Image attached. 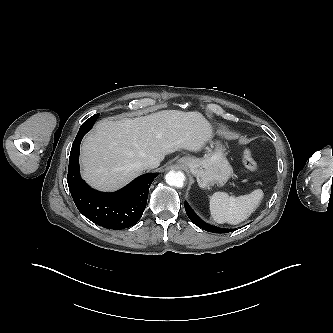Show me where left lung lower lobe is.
Masks as SVG:
<instances>
[{"mask_svg":"<svg viewBox=\"0 0 333 333\" xmlns=\"http://www.w3.org/2000/svg\"><path fill=\"white\" fill-rule=\"evenodd\" d=\"M185 206V211L187 213V216L189 217V219L198 227H201L202 229L208 231V232H214V233H228L233 231L234 229H228V228H219L213 225H210L208 223H205L204 221H202L201 219H199L189 208V206L187 205V203L184 204Z\"/></svg>","mask_w":333,"mask_h":333,"instance_id":"1","label":"left lung lower lobe"}]
</instances>
